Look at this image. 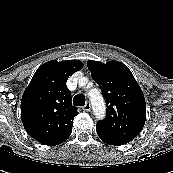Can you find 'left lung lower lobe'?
<instances>
[{
  "label": "left lung lower lobe",
  "instance_id": "0a47b994",
  "mask_svg": "<svg viewBox=\"0 0 173 173\" xmlns=\"http://www.w3.org/2000/svg\"><path fill=\"white\" fill-rule=\"evenodd\" d=\"M97 134L100 137V139L105 142L106 144L109 145H115V146H120L127 144L129 141L119 139L117 137H114L106 132H104L101 129L96 128Z\"/></svg>",
  "mask_w": 173,
  "mask_h": 173
}]
</instances>
